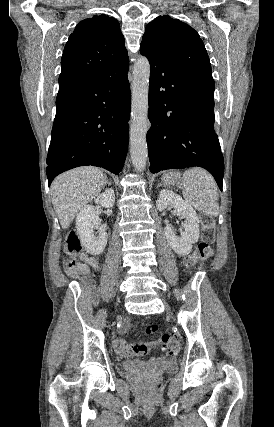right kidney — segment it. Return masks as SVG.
<instances>
[{
  "label": "right kidney",
  "instance_id": "ca27d5eb",
  "mask_svg": "<svg viewBox=\"0 0 274 427\" xmlns=\"http://www.w3.org/2000/svg\"><path fill=\"white\" fill-rule=\"evenodd\" d=\"M95 204L103 208H112L115 204V194L113 190H105L95 200ZM76 227L80 241L88 253L99 255L105 249L108 235L101 227L99 214L94 206H84L76 217ZM94 229H98L99 235H94Z\"/></svg>",
  "mask_w": 274,
  "mask_h": 427
}]
</instances>
